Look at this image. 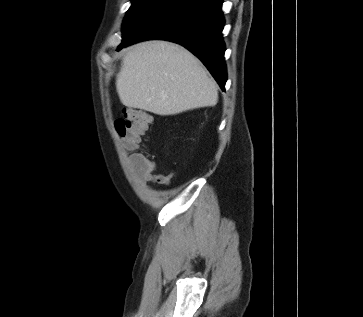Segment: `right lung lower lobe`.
Returning a JSON list of instances; mask_svg holds the SVG:
<instances>
[{
	"mask_svg": "<svg viewBox=\"0 0 363 317\" xmlns=\"http://www.w3.org/2000/svg\"><path fill=\"white\" fill-rule=\"evenodd\" d=\"M222 0H181L149 21L125 46L148 39L183 45L208 68L222 90L227 80Z\"/></svg>",
	"mask_w": 363,
	"mask_h": 317,
	"instance_id": "right-lung-lower-lobe-1",
	"label": "right lung lower lobe"
}]
</instances>
